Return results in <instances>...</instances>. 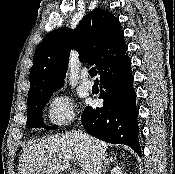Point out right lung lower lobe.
Wrapping results in <instances>:
<instances>
[{"instance_id": "1", "label": "right lung lower lobe", "mask_w": 175, "mask_h": 174, "mask_svg": "<svg viewBox=\"0 0 175 174\" xmlns=\"http://www.w3.org/2000/svg\"><path fill=\"white\" fill-rule=\"evenodd\" d=\"M99 98L103 107L87 106L81 116L86 132L103 141L125 144L141 155L138 141V109L133 88L131 63L127 53L100 73Z\"/></svg>"}]
</instances>
